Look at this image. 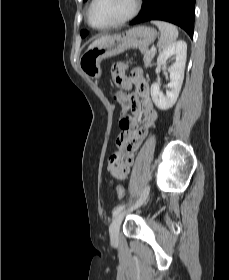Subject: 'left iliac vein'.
<instances>
[{
	"label": "left iliac vein",
	"instance_id": "obj_1",
	"mask_svg": "<svg viewBox=\"0 0 229 280\" xmlns=\"http://www.w3.org/2000/svg\"><path fill=\"white\" fill-rule=\"evenodd\" d=\"M149 190H150L149 186L145 188L143 194L141 195L140 199L137 201L135 207H140L145 202V200L148 197ZM123 215H124L123 212L117 214L110 225V229H109L110 239L113 244L118 241V235H119V230H120Z\"/></svg>",
	"mask_w": 229,
	"mask_h": 280
}]
</instances>
